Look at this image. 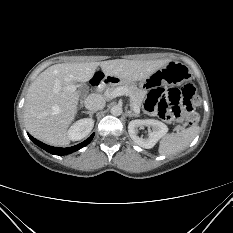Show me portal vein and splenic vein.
Segmentation results:
<instances>
[{
  "label": "portal vein and splenic vein",
  "instance_id": "portal-vein-and-splenic-vein-1",
  "mask_svg": "<svg viewBox=\"0 0 233 233\" xmlns=\"http://www.w3.org/2000/svg\"><path fill=\"white\" fill-rule=\"evenodd\" d=\"M123 95H127V96H130L128 94V91L126 88L124 87H117L111 91H108L106 90L105 91V96L112 99V98H115V97H118V96H123ZM131 98V97H130ZM132 106V109L133 111L136 113V114H139L140 113V109L134 105H131Z\"/></svg>",
  "mask_w": 233,
  "mask_h": 233
}]
</instances>
